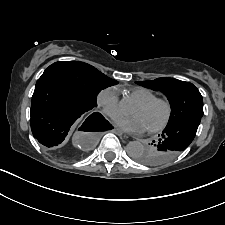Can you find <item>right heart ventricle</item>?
Segmentation results:
<instances>
[{
	"label": "right heart ventricle",
	"mask_w": 225,
	"mask_h": 225,
	"mask_svg": "<svg viewBox=\"0 0 225 225\" xmlns=\"http://www.w3.org/2000/svg\"><path fill=\"white\" fill-rule=\"evenodd\" d=\"M127 95L137 103L156 97V94L153 91L143 87L133 88L127 91Z\"/></svg>",
	"instance_id": "obj_1"
}]
</instances>
